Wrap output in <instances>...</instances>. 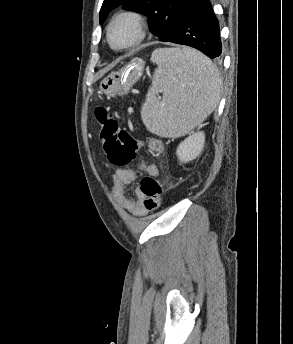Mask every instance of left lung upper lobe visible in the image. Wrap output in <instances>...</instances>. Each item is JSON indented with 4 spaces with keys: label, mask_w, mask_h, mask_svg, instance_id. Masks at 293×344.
Listing matches in <instances>:
<instances>
[{
    "label": "left lung upper lobe",
    "mask_w": 293,
    "mask_h": 344,
    "mask_svg": "<svg viewBox=\"0 0 293 344\" xmlns=\"http://www.w3.org/2000/svg\"><path fill=\"white\" fill-rule=\"evenodd\" d=\"M190 0H104L100 24L113 9L122 6L149 18V28L161 40L173 28Z\"/></svg>",
    "instance_id": "obj_1"
}]
</instances>
